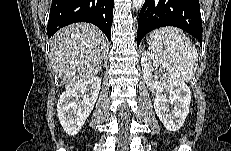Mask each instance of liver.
I'll list each match as a JSON object with an SVG mask.
<instances>
[{
    "label": "liver",
    "mask_w": 231,
    "mask_h": 151,
    "mask_svg": "<svg viewBox=\"0 0 231 151\" xmlns=\"http://www.w3.org/2000/svg\"><path fill=\"white\" fill-rule=\"evenodd\" d=\"M106 48L107 38L96 26L72 24L54 35L50 49L51 64L68 89L97 75Z\"/></svg>",
    "instance_id": "6515ba94"
}]
</instances>
